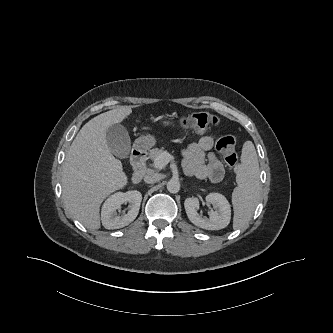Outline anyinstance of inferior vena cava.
<instances>
[{"mask_svg": "<svg viewBox=\"0 0 333 333\" xmlns=\"http://www.w3.org/2000/svg\"><path fill=\"white\" fill-rule=\"evenodd\" d=\"M163 176L160 173L150 172L144 177V181L148 184H152L160 181Z\"/></svg>", "mask_w": 333, "mask_h": 333, "instance_id": "602c4592", "label": "inferior vena cava"}]
</instances>
